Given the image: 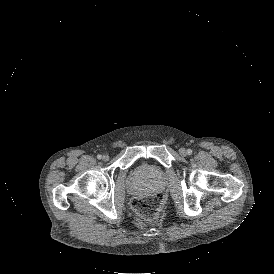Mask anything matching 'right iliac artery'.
Returning <instances> with one entry per match:
<instances>
[{"mask_svg": "<svg viewBox=\"0 0 274 274\" xmlns=\"http://www.w3.org/2000/svg\"><path fill=\"white\" fill-rule=\"evenodd\" d=\"M101 158H102V155H100V154H99V155H97V159H99V160H100Z\"/></svg>", "mask_w": 274, "mask_h": 274, "instance_id": "82829eb1", "label": "right iliac artery"}]
</instances>
